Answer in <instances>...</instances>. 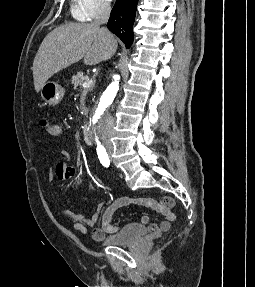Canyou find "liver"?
<instances>
[{
	"label": "liver",
	"instance_id": "obj_1",
	"mask_svg": "<svg viewBox=\"0 0 255 287\" xmlns=\"http://www.w3.org/2000/svg\"><path fill=\"white\" fill-rule=\"evenodd\" d=\"M118 48L117 40L99 24H64L44 38L33 62L36 92L43 84L68 66L84 58L86 66H96L109 60Z\"/></svg>",
	"mask_w": 255,
	"mask_h": 287
}]
</instances>
